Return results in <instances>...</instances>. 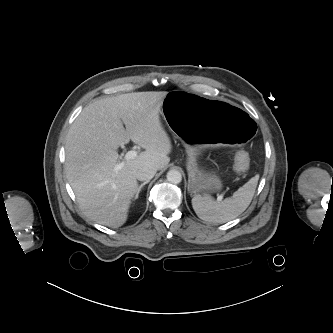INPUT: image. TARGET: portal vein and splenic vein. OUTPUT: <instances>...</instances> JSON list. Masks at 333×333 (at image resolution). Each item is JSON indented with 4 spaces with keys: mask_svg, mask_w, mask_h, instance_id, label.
Instances as JSON below:
<instances>
[{
    "mask_svg": "<svg viewBox=\"0 0 333 333\" xmlns=\"http://www.w3.org/2000/svg\"><path fill=\"white\" fill-rule=\"evenodd\" d=\"M137 157V151L135 150H130L128 151L125 156H124V160H131V159H134ZM123 166V163H120L118 166H117V169H120L121 167ZM223 199L222 196H218L217 200L218 201H221Z\"/></svg>",
    "mask_w": 333,
    "mask_h": 333,
    "instance_id": "1",
    "label": "portal vein and splenic vein"
}]
</instances>
